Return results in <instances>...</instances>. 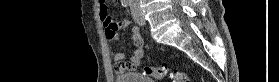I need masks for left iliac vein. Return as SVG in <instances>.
<instances>
[{"mask_svg":"<svg viewBox=\"0 0 279 82\" xmlns=\"http://www.w3.org/2000/svg\"><path fill=\"white\" fill-rule=\"evenodd\" d=\"M131 12H132L133 18L137 24H139V25L145 24V19L142 16V14L137 6L132 5Z\"/></svg>","mask_w":279,"mask_h":82,"instance_id":"left-iliac-vein-1","label":"left iliac vein"}]
</instances>
